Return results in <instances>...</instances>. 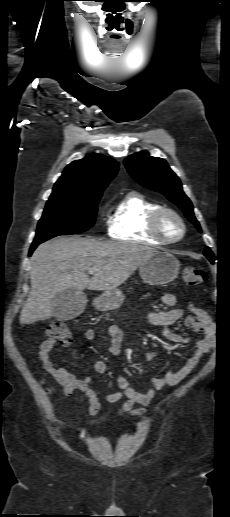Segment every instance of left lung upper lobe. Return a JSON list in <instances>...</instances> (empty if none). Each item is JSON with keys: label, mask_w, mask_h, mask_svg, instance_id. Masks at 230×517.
<instances>
[{"label": "left lung upper lobe", "mask_w": 230, "mask_h": 517, "mask_svg": "<svg viewBox=\"0 0 230 517\" xmlns=\"http://www.w3.org/2000/svg\"><path fill=\"white\" fill-rule=\"evenodd\" d=\"M128 173L142 186L164 194L176 204L201 232V227L193 213V205L182 190L180 179L170 169L164 159L152 157L143 151L124 160ZM204 255L214 263V254L205 248Z\"/></svg>", "instance_id": "left-lung-upper-lobe-1"}]
</instances>
